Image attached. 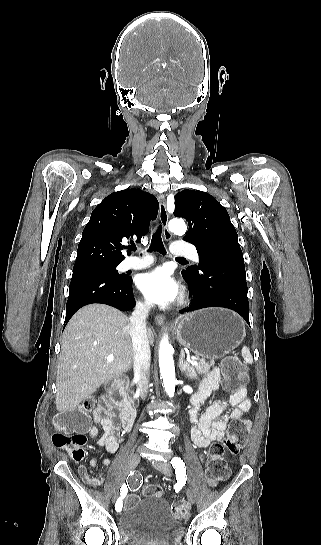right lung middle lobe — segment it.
<instances>
[{
  "label": "right lung middle lobe",
  "mask_w": 321,
  "mask_h": 545,
  "mask_svg": "<svg viewBox=\"0 0 321 545\" xmlns=\"http://www.w3.org/2000/svg\"><path fill=\"white\" fill-rule=\"evenodd\" d=\"M117 265L118 264H116V265L93 266V267H89V268H86V269L101 271V272H104L106 274H109V275H112V276H115V277H124L125 274H119L118 271L116 270Z\"/></svg>",
  "instance_id": "obj_1"
}]
</instances>
